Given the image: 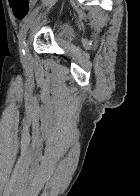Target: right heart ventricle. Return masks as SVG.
<instances>
[{
    "label": "right heart ventricle",
    "mask_w": 140,
    "mask_h": 196,
    "mask_svg": "<svg viewBox=\"0 0 140 196\" xmlns=\"http://www.w3.org/2000/svg\"><path fill=\"white\" fill-rule=\"evenodd\" d=\"M21 192H37V191H21Z\"/></svg>",
    "instance_id": "obj_1"
}]
</instances>
